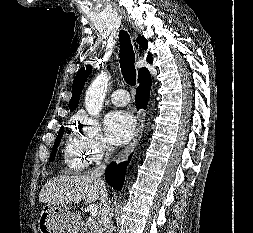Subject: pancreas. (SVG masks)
Returning a JSON list of instances; mask_svg holds the SVG:
<instances>
[{
    "label": "pancreas",
    "instance_id": "obj_1",
    "mask_svg": "<svg viewBox=\"0 0 253 233\" xmlns=\"http://www.w3.org/2000/svg\"><path fill=\"white\" fill-rule=\"evenodd\" d=\"M84 228L81 233H102V225L99 218H88L83 224Z\"/></svg>",
    "mask_w": 253,
    "mask_h": 233
}]
</instances>
